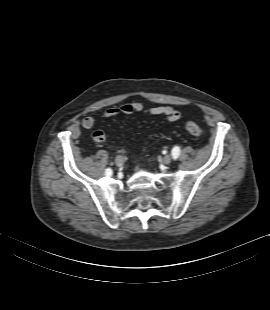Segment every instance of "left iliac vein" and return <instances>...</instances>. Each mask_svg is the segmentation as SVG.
I'll return each mask as SVG.
<instances>
[{"mask_svg": "<svg viewBox=\"0 0 270 310\" xmlns=\"http://www.w3.org/2000/svg\"><path fill=\"white\" fill-rule=\"evenodd\" d=\"M171 161H172V159H171L170 155L164 156V158H163L164 164L168 165L171 163Z\"/></svg>", "mask_w": 270, "mask_h": 310, "instance_id": "obj_1", "label": "left iliac vein"}]
</instances>
